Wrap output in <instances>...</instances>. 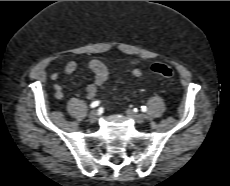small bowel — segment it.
Returning a JSON list of instances; mask_svg holds the SVG:
<instances>
[{"instance_id":"obj_1","label":"small bowel","mask_w":230,"mask_h":186,"mask_svg":"<svg viewBox=\"0 0 230 186\" xmlns=\"http://www.w3.org/2000/svg\"><path fill=\"white\" fill-rule=\"evenodd\" d=\"M141 64L139 60H134L130 63L131 65V74L134 77L142 78L143 73L138 68ZM89 69L94 73V82L85 88V93L87 98L92 99L97 93V90L104 85L108 78V66L99 59H91L88 63ZM78 68V63L75 61H69L64 67V72L68 75L74 73ZM53 81H57L59 78L58 72H52L50 75ZM55 97L61 99L64 97L65 92L63 86L60 83L54 84Z\"/></svg>"}]
</instances>
